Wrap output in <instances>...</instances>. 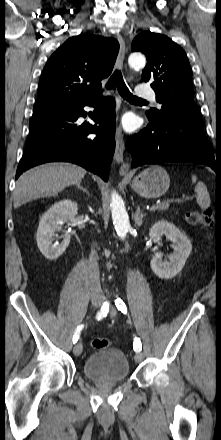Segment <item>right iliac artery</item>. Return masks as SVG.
Wrapping results in <instances>:
<instances>
[{"label":"right iliac artery","instance_id":"1","mask_svg":"<svg viewBox=\"0 0 221 440\" xmlns=\"http://www.w3.org/2000/svg\"><path fill=\"white\" fill-rule=\"evenodd\" d=\"M108 311H109V305L107 302H104L101 309L96 314V319L100 320L103 317H106ZM81 329H82V326H79L77 328V330L75 331V333L73 335V343H76L78 341Z\"/></svg>","mask_w":221,"mask_h":440}]
</instances>
